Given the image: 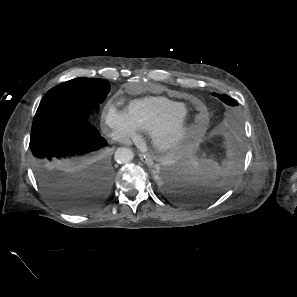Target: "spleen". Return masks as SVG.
<instances>
[{"instance_id": "3e777b00", "label": "spleen", "mask_w": 297, "mask_h": 297, "mask_svg": "<svg viewBox=\"0 0 297 297\" xmlns=\"http://www.w3.org/2000/svg\"><path fill=\"white\" fill-rule=\"evenodd\" d=\"M189 167L194 173L202 174L219 168L217 162L209 159H197L190 157L188 161Z\"/></svg>"}]
</instances>
